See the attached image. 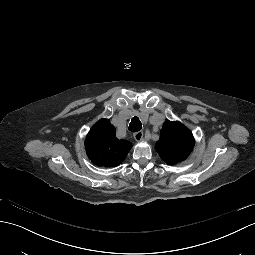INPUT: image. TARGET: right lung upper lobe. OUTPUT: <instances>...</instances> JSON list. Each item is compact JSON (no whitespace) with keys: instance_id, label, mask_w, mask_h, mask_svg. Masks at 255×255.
Here are the masks:
<instances>
[{"instance_id":"obj_1","label":"right lung upper lobe","mask_w":255,"mask_h":255,"mask_svg":"<svg viewBox=\"0 0 255 255\" xmlns=\"http://www.w3.org/2000/svg\"><path fill=\"white\" fill-rule=\"evenodd\" d=\"M132 145L116 137L115 127L108 119L99 120L89 131L85 148L89 159L97 166L113 167L126 158Z\"/></svg>"}]
</instances>
